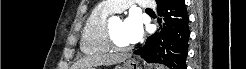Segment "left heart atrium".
I'll use <instances>...</instances> for the list:
<instances>
[{
  "instance_id": "obj_1",
  "label": "left heart atrium",
  "mask_w": 246,
  "mask_h": 69,
  "mask_svg": "<svg viewBox=\"0 0 246 69\" xmlns=\"http://www.w3.org/2000/svg\"><path fill=\"white\" fill-rule=\"evenodd\" d=\"M124 29L129 43L133 44L141 39L143 28L137 12H130L129 16L124 21Z\"/></svg>"
}]
</instances>
